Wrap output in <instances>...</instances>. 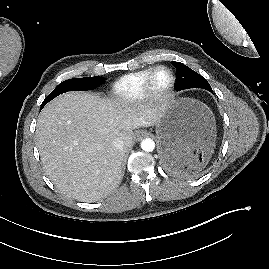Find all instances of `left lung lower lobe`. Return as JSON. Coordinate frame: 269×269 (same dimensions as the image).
Masks as SVG:
<instances>
[{"label": "left lung lower lobe", "mask_w": 269, "mask_h": 269, "mask_svg": "<svg viewBox=\"0 0 269 269\" xmlns=\"http://www.w3.org/2000/svg\"><path fill=\"white\" fill-rule=\"evenodd\" d=\"M180 160V150L176 145L167 144L164 146L162 153V163L167 169L177 172L183 170L179 167Z\"/></svg>", "instance_id": "0a47b994"}]
</instances>
